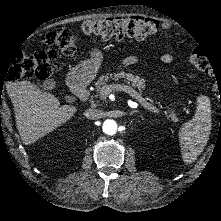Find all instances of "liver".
I'll list each match as a JSON object with an SVG mask.
<instances>
[{"label": "liver", "instance_id": "obj_1", "mask_svg": "<svg viewBox=\"0 0 221 221\" xmlns=\"http://www.w3.org/2000/svg\"><path fill=\"white\" fill-rule=\"evenodd\" d=\"M7 94L18 132L25 144L33 143L66 122L74 112L71 106H60L54 95L28 81L14 84L7 90Z\"/></svg>", "mask_w": 221, "mask_h": 221}]
</instances>
